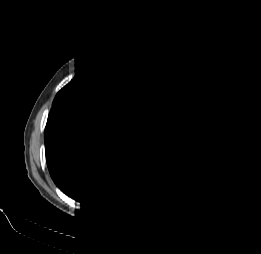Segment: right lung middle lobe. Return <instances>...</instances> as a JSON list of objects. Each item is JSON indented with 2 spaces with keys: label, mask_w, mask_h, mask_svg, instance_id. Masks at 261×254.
<instances>
[{
  "label": "right lung middle lobe",
  "mask_w": 261,
  "mask_h": 254,
  "mask_svg": "<svg viewBox=\"0 0 261 254\" xmlns=\"http://www.w3.org/2000/svg\"><path fill=\"white\" fill-rule=\"evenodd\" d=\"M92 71L78 73L73 80L56 95L49 117L57 115L75 119L91 129L105 130L99 114V100L94 96L97 84L90 82Z\"/></svg>",
  "instance_id": "obj_1"
}]
</instances>
